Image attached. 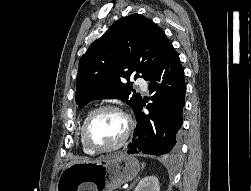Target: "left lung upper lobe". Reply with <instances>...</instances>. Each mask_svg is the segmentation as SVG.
<instances>
[{"label":"left lung upper lobe","instance_id":"left-lung-upper-lobe-1","mask_svg":"<svg viewBox=\"0 0 251 191\" xmlns=\"http://www.w3.org/2000/svg\"><path fill=\"white\" fill-rule=\"evenodd\" d=\"M164 31L151 19L132 14L114 23L94 41L79 60L76 104L83 108L94 99L119 98L136 113L142 103L133 93L131 76L150 80L169 50Z\"/></svg>","mask_w":251,"mask_h":191}]
</instances>
